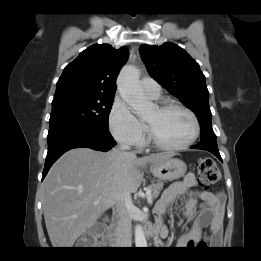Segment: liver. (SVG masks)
<instances>
[{"instance_id":"obj_1","label":"liver","mask_w":261,"mask_h":261,"mask_svg":"<svg viewBox=\"0 0 261 261\" xmlns=\"http://www.w3.org/2000/svg\"><path fill=\"white\" fill-rule=\"evenodd\" d=\"M170 156L133 158L119 149L102 153L89 148L64 153L42 184L44 219L52 246L71 248L119 196L138 190L143 180L141 168Z\"/></svg>"}]
</instances>
